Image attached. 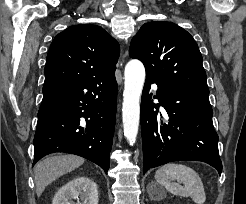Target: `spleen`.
Wrapping results in <instances>:
<instances>
[{
    "label": "spleen",
    "mask_w": 246,
    "mask_h": 204,
    "mask_svg": "<svg viewBox=\"0 0 246 204\" xmlns=\"http://www.w3.org/2000/svg\"><path fill=\"white\" fill-rule=\"evenodd\" d=\"M157 183L178 196L191 197L196 204H204L206 195L199 175L191 167L178 163L161 166L155 173ZM183 183L184 186H181Z\"/></svg>",
    "instance_id": "3e777b00"
}]
</instances>
